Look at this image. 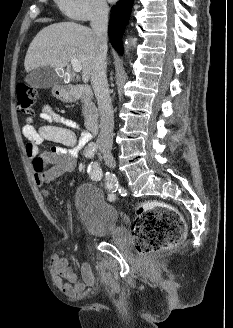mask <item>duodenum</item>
<instances>
[{
  "instance_id": "obj_1",
  "label": "duodenum",
  "mask_w": 233,
  "mask_h": 328,
  "mask_svg": "<svg viewBox=\"0 0 233 328\" xmlns=\"http://www.w3.org/2000/svg\"><path fill=\"white\" fill-rule=\"evenodd\" d=\"M92 91L87 85H71L61 90L60 95L68 100L74 101L80 98L89 97ZM86 126L92 133H96L99 128L98 114L95 111H90L86 115Z\"/></svg>"
}]
</instances>
